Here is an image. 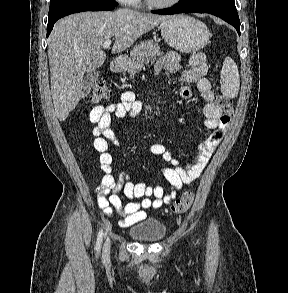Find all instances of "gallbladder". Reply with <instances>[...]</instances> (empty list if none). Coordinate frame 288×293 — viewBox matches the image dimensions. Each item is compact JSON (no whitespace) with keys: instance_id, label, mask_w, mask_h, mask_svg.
<instances>
[{"instance_id":"1","label":"gallbladder","mask_w":288,"mask_h":293,"mask_svg":"<svg viewBox=\"0 0 288 293\" xmlns=\"http://www.w3.org/2000/svg\"><path fill=\"white\" fill-rule=\"evenodd\" d=\"M99 76V71H93L90 72L85 76V79L83 81V89H82V96L86 97L90 90L91 87L93 86L94 82L98 79Z\"/></svg>"}]
</instances>
